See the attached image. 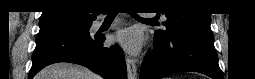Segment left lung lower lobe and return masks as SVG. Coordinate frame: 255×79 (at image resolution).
<instances>
[{"label": "left lung lower lobe", "mask_w": 255, "mask_h": 79, "mask_svg": "<svg viewBox=\"0 0 255 79\" xmlns=\"http://www.w3.org/2000/svg\"><path fill=\"white\" fill-rule=\"evenodd\" d=\"M182 71L223 79L212 31L186 30L167 40L154 37V50L142 65L140 79H161Z\"/></svg>", "instance_id": "1"}]
</instances>
